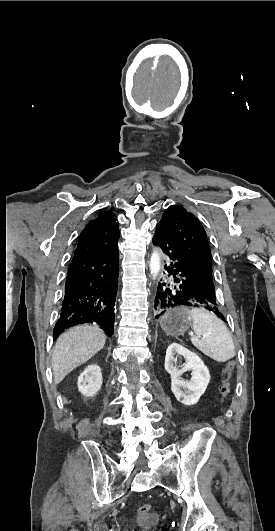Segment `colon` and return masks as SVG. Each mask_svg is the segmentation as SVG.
<instances>
[{"instance_id":"1","label":"colon","mask_w":275,"mask_h":531,"mask_svg":"<svg viewBox=\"0 0 275 531\" xmlns=\"http://www.w3.org/2000/svg\"><path fill=\"white\" fill-rule=\"evenodd\" d=\"M234 369L235 364L233 362H229L226 364L223 371L224 380L220 386V394L224 402H227L229 400L228 395L231 390V377L234 372ZM137 512L141 516H147L151 512V507L148 504H142L137 508Z\"/></svg>"}]
</instances>
